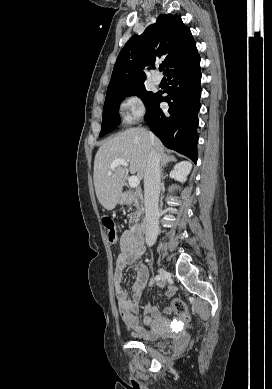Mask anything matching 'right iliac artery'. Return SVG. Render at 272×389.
<instances>
[{"label": "right iliac artery", "mask_w": 272, "mask_h": 389, "mask_svg": "<svg viewBox=\"0 0 272 389\" xmlns=\"http://www.w3.org/2000/svg\"><path fill=\"white\" fill-rule=\"evenodd\" d=\"M161 278L159 275H156L154 278H152V281H159Z\"/></svg>", "instance_id": "82829eb1"}]
</instances>
